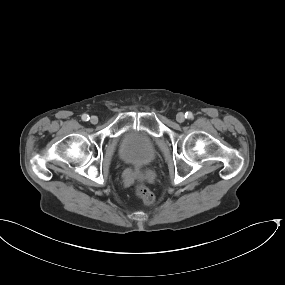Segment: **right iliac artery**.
I'll return each mask as SVG.
<instances>
[{"mask_svg":"<svg viewBox=\"0 0 285 285\" xmlns=\"http://www.w3.org/2000/svg\"><path fill=\"white\" fill-rule=\"evenodd\" d=\"M81 118H82L83 121H88L89 120V115L83 114Z\"/></svg>","mask_w":285,"mask_h":285,"instance_id":"obj_1","label":"right iliac artery"}]
</instances>
